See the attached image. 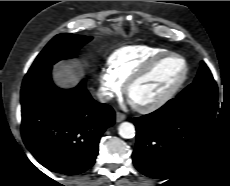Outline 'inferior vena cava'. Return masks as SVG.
Listing matches in <instances>:
<instances>
[{
  "label": "inferior vena cava",
  "instance_id": "inferior-vena-cava-1",
  "mask_svg": "<svg viewBox=\"0 0 230 186\" xmlns=\"http://www.w3.org/2000/svg\"><path fill=\"white\" fill-rule=\"evenodd\" d=\"M97 97L100 102L105 103L113 98V94L112 92H109L107 90H99L97 93Z\"/></svg>",
  "mask_w": 230,
  "mask_h": 186
}]
</instances>
